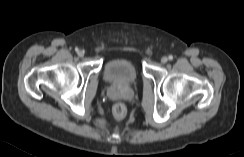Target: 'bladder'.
<instances>
[{
  "instance_id": "bladder-1",
  "label": "bladder",
  "mask_w": 244,
  "mask_h": 157,
  "mask_svg": "<svg viewBox=\"0 0 244 157\" xmlns=\"http://www.w3.org/2000/svg\"><path fill=\"white\" fill-rule=\"evenodd\" d=\"M103 80L117 89H128L139 80L137 67L126 58H112L102 67Z\"/></svg>"
}]
</instances>
